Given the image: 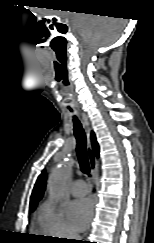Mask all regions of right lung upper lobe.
Here are the masks:
<instances>
[{
    "mask_svg": "<svg viewBox=\"0 0 154 243\" xmlns=\"http://www.w3.org/2000/svg\"><path fill=\"white\" fill-rule=\"evenodd\" d=\"M91 138H92V145H93L94 153L96 156H98L99 155V146H98L96 137L93 132L91 134ZM45 185H46V178H45V172L43 171L39 175V177L36 181V184L34 186V189L32 191V195L30 198V207H35L37 205V202L42 198L44 190H45Z\"/></svg>",
    "mask_w": 154,
    "mask_h": 243,
    "instance_id": "right-lung-upper-lobe-1",
    "label": "right lung upper lobe"
}]
</instances>
